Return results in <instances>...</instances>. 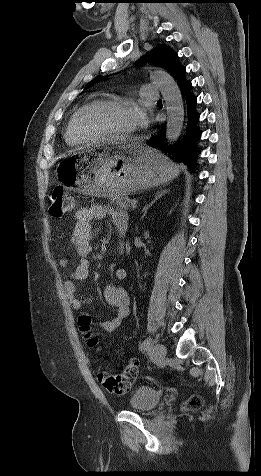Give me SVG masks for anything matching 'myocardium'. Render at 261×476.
<instances>
[{
    "instance_id": "1",
    "label": "myocardium",
    "mask_w": 261,
    "mask_h": 476,
    "mask_svg": "<svg viewBox=\"0 0 261 476\" xmlns=\"http://www.w3.org/2000/svg\"><path fill=\"white\" fill-rule=\"evenodd\" d=\"M97 106H124L137 108V105L129 100L120 99V98H99L90 101L89 103L83 105L74 116L73 126L74 131L78 138L83 142L87 143H100L105 141H126L132 137L133 130L125 134H99V135H90L87 134L82 128V117L90 109Z\"/></svg>"
}]
</instances>
